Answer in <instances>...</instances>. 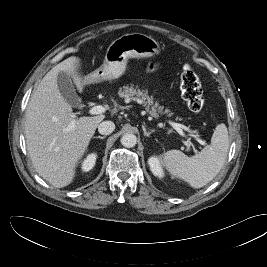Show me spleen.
<instances>
[{
    "label": "spleen",
    "instance_id": "1",
    "mask_svg": "<svg viewBox=\"0 0 267 267\" xmlns=\"http://www.w3.org/2000/svg\"><path fill=\"white\" fill-rule=\"evenodd\" d=\"M229 149V136L225 124H219L212 135L210 145L198 154L186 156L179 150L164 153L163 162L167 171L187 182L193 188H201L219 173Z\"/></svg>",
    "mask_w": 267,
    "mask_h": 267
}]
</instances>
